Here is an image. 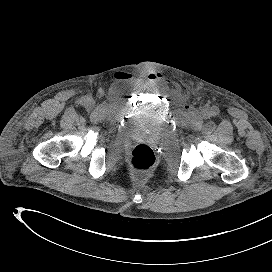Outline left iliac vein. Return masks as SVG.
Here are the masks:
<instances>
[{
	"instance_id": "left-iliac-vein-1",
	"label": "left iliac vein",
	"mask_w": 272,
	"mask_h": 272,
	"mask_svg": "<svg viewBox=\"0 0 272 272\" xmlns=\"http://www.w3.org/2000/svg\"><path fill=\"white\" fill-rule=\"evenodd\" d=\"M204 114L207 115V114H208V111H204Z\"/></svg>"
}]
</instances>
